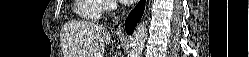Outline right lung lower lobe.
I'll list each match as a JSON object with an SVG mask.
<instances>
[{"instance_id":"98d812e1","label":"right lung lower lobe","mask_w":249,"mask_h":57,"mask_svg":"<svg viewBox=\"0 0 249 57\" xmlns=\"http://www.w3.org/2000/svg\"><path fill=\"white\" fill-rule=\"evenodd\" d=\"M145 8V0H140L136 7L130 12L126 21L125 28L126 31L131 35L137 25V22L140 21L142 14Z\"/></svg>"}]
</instances>
